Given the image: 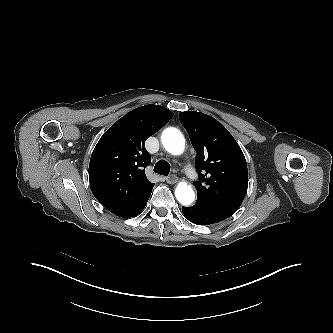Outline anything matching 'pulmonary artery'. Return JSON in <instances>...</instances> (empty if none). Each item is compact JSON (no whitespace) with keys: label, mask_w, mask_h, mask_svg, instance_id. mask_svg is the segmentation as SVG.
<instances>
[{"label":"pulmonary artery","mask_w":333,"mask_h":333,"mask_svg":"<svg viewBox=\"0 0 333 333\" xmlns=\"http://www.w3.org/2000/svg\"><path fill=\"white\" fill-rule=\"evenodd\" d=\"M189 175H190V178H191V179H195V178H196V175L194 174V172H190Z\"/></svg>","instance_id":"1"}]
</instances>
